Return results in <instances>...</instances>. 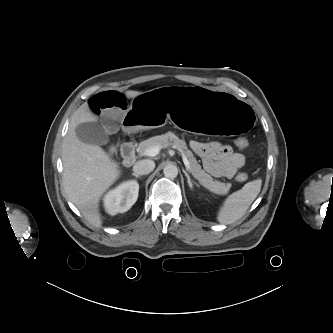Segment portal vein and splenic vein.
Here are the masks:
<instances>
[{
	"label": "portal vein and splenic vein",
	"instance_id": "obj_1",
	"mask_svg": "<svg viewBox=\"0 0 333 333\" xmlns=\"http://www.w3.org/2000/svg\"><path fill=\"white\" fill-rule=\"evenodd\" d=\"M161 148H162V146H159V145L158 146L150 147V148H148V149L145 150V155L149 156V157H154V156H156L160 152ZM179 151L181 152L182 159H183V162H184V165H185L186 169L188 171H190L191 170V168H190V162H189L187 156L184 154L183 151H181V150H179Z\"/></svg>",
	"mask_w": 333,
	"mask_h": 333
}]
</instances>
